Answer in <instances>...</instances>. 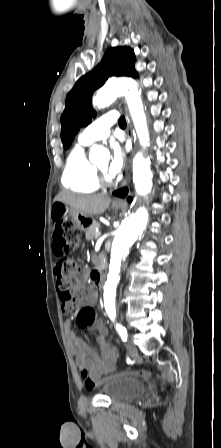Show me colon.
Masks as SVG:
<instances>
[{
	"mask_svg": "<svg viewBox=\"0 0 221 448\" xmlns=\"http://www.w3.org/2000/svg\"><path fill=\"white\" fill-rule=\"evenodd\" d=\"M61 211V208H57L54 214V218L57 220V224L54 228V235L61 240V244L58 246L61 255L56 267L55 276L60 291V298L63 302H66L73 298L74 289L79 281L76 276L75 264L67 254L78 248L80 243V233L76 228L74 220L72 218H64L61 215ZM83 314L85 316L84 324L86 326L91 324L96 317V312L92 307H86ZM81 374L84 387L87 390H92L102 383L99 379L91 378L85 369H82ZM131 374L136 377L149 378L153 375V372L141 370L132 372Z\"/></svg>",
	"mask_w": 221,
	"mask_h": 448,
	"instance_id": "colon-1",
	"label": "colon"
}]
</instances>
